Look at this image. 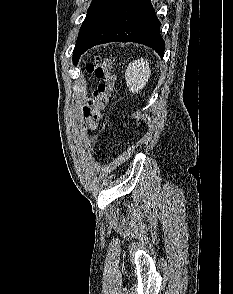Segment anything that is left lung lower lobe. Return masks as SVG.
I'll return each instance as SVG.
<instances>
[{
  "mask_svg": "<svg viewBox=\"0 0 233 294\" xmlns=\"http://www.w3.org/2000/svg\"><path fill=\"white\" fill-rule=\"evenodd\" d=\"M113 41L144 44L163 57L160 21L150 0H112L84 41L80 55L93 46Z\"/></svg>",
  "mask_w": 233,
  "mask_h": 294,
  "instance_id": "left-lung-lower-lobe-1",
  "label": "left lung lower lobe"
}]
</instances>
